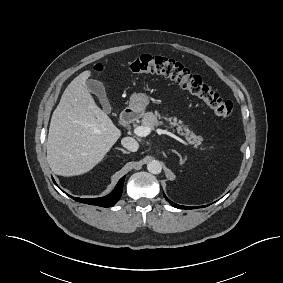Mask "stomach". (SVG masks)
Segmentation results:
<instances>
[{"instance_id":"0dacf381","label":"stomach","mask_w":283,"mask_h":283,"mask_svg":"<svg viewBox=\"0 0 283 283\" xmlns=\"http://www.w3.org/2000/svg\"><path fill=\"white\" fill-rule=\"evenodd\" d=\"M149 96L145 93H134L129 100V109L136 114H143L149 104Z\"/></svg>"}]
</instances>
